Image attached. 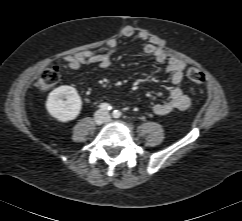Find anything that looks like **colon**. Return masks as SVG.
I'll use <instances>...</instances> for the list:
<instances>
[{"label":"colon","mask_w":242,"mask_h":221,"mask_svg":"<svg viewBox=\"0 0 242 221\" xmlns=\"http://www.w3.org/2000/svg\"><path fill=\"white\" fill-rule=\"evenodd\" d=\"M187 75L194 84H201L205 79L204 73L196 67L189 68ZM58 80L59 73L56 68L45 69L37 80V89L41 92H47L57 84Z\"/></svg>","instance_id":"1"}]
</instances>
